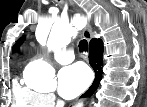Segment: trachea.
Wrapping results in <instances>:
<instances>
[{
    "label": "trachea",
    "mask_w": 147,
    "mask_h": 107,
    "mask_svg": "<svg viewBox=\"0 0 147 107\" xmlns=\"http://www.w3.org/2000/svg\"><path fill=\"white\" fill-rule=\"evenodd\" d=\"M79 49H80V51H88V42H87V40H81L80 42H79Z\"/></svg>",
    "instance_id": "3493384b"
}]
</instances>
